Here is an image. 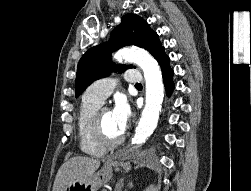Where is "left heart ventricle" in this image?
Instances as JSON below:
<instances>
[{
	"label": "left heart ventricle",
	"instance_id": "left-heart-ventricle-1",
	"mask_svg": "<svg viewBox=\"0 0 251 191\" xmlns=\"http://www.w3.org/2000/svg\"><path fill=\"white\" fill-rule=\"evenodd\" d=\"M101 119H102L104 131L109 137L116 138L121 134L114 127L109 111H104L101 115Z\"/></svg>",
	"mask_w": 251,
	"mask_h": 191
}]
</instances>
